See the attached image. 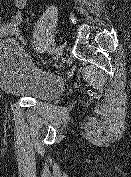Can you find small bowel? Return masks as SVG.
Segmentation results:
<instances>
[{
	"instance_id": "obj_1",
	"label": "small bowel",
	"mask_w": 131,
	"mask_h": 177,
	"mask_svg": "<svg viewBox=\"0 0 131 177\" xmlns=\"http://www.w3.org/2000/svg\"><path fill=\"white\" fill-rule=\"evenodd\" d=\"M15 9L13 10L10 19L0 24V37H11L13 36V25L14 23L22 27L23 22L26 20L23 10L26 7L27 0H13Z\"/></svg>"
}]
</instances>
